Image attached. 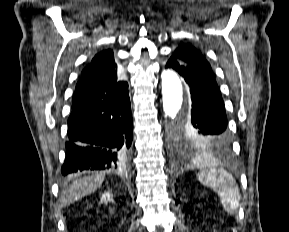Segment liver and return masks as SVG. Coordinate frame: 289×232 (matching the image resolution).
<instances>
[{"instance_id": "1", "label": "liver", "mask_w": 289, "mask_h": 232, "mask_svg": "<svg viewBox=\"0 0 289 232\" xmlns=\"http://www.w3.org/2000/svg\"><path fill=\"white\" fill-rule=\"evenodd\" d=\"M104 179L105 174L99 172L74 180L67 189L62 192V202L69 204L91 194L102 185Z\"/></svg>"}]
</instances>
